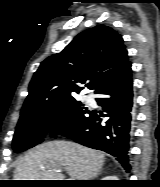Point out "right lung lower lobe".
Here are the masks:
<instances>
[{"label":"right lung lower lobe","mask_w":160,"mask_h":187,"mask_svg":"<svg viewBox=\"0 0 160 187\" xmlns=\"http://www.w3.org/2000/svg\"><path fill=\"white\" fill-rule=\"evenodd\" d=\"M132 70L129 64L116 78L95 92L102 111H90L68 138L84 146L105 151L129 172V139L132 120Z\"/></svg>","instance_id":"right-lung-lower-lobe-1"}]
</instances>
